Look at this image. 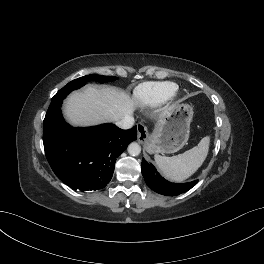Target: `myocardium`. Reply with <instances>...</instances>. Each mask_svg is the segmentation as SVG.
Returning <instances> with one entry per match:
<instances>
[{"label": "myocardium", "instance_id": "f54148a6", "mask_svg": "<svg viewBox=\"0 0 264 264\" xmlns=\"http://www.w3.org/2000/svg\"><path fill=\"white\" fill-rule=\"evenodd\" d=\"M179 92L176 90L171 96H170V98L169 99H171V100H175V99H177L178 97H179Z\"/></svg>", "mask_w": 264, "mask_h": 264}]
</instances>
